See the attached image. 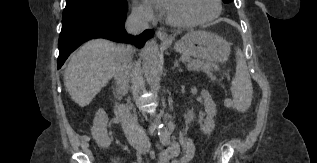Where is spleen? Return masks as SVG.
I'll return each mask as SVG.
<instances>
[{
  "instance_id": "1",
  "label": "spleen",
  "mask_w": 317,
  "mask_h": 163,
  "mask_svg": "<svg viewBox=\"0 0 317 163\" xmlns=\"http://www.w3.org/2000/svg\"><path fill=\"white\" fill-rule=\"evenodd\" d=\"M236 74L232 81L231 92L235 107L245 111L252 100V83L243 53L238 48L236 51Z\"/></svg>"
}]
</instances>
